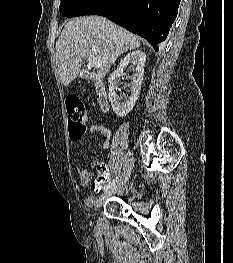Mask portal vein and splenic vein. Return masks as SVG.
I'll use <instances>...</instances> for the list:
<instances>
[{"label":"portal vein and splenic vein","mask_w":233,"mask_h":263,"mask_svg":"<svg viewBox=\"0 0 233 263\" xmlns=\"http://www.w3.org/2000/svg\"><path fill=\"white\" fill-rule=\"evenodd\" d=\"M88 62L91 66L99 67L101 66V62H99L96 58L94 57H88Z\"/></svg>","instance_id":"18ae733b"}]
</instances>
